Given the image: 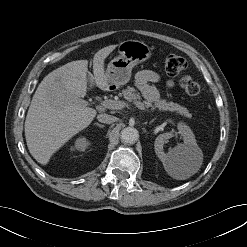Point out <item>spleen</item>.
<instances>
[{"label":"spleen","instance_id":"3e777b00","mask_svg":"<svg viewBox=\"0 0 247 247\" xmlns=\"http://www.w3.org/2000/svg\"><path fill=\"white\" fill-rule=\"evenodd\" d=\"M178 162H183L182 160L181 161H178ZM168 167V171H169V173L172 175V176H174L175 178H177V179H186V178H188L189 176H191L192 174H194L196 171H190L188 174H186V175H180L177 171H176V168L175 167H173V166H170V165H168L167 166Z\"/></svg>","mask_w":247,"mask_h":247}]
</instances>
